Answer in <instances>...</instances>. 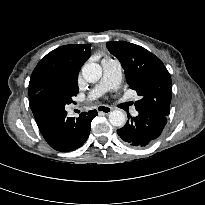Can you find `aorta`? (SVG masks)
<instances>
[{"mask_svg":"<svg viewBox=\"0 0 205 205\" xmlns=\"http://www.w3.org/2000/svg\"><path fill=\"white\" fill-rule=\"evenodd\" d=\"M82 76L89 83L97 82L102 76V68L97 63H86L82 67ZM109 122L116 127L124 126L125 114L120 110H114L109 114Z\"/></svg>","mask_w":205,"mask_h":205,"instance_id":"obj_1","label":"aorta"}]
</instances>
